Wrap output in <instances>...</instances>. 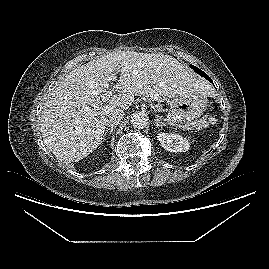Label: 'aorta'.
Listing matches in <instances>:
<instances>
[{
  "mask_svg": "<svg viewBox=\"0 0 269 269\" xmlns=\"http://www.w3.org/2000/svg\"><path fill=\"white\" fill-rule=\"evenodd\" d=\"M147 116L143 112H135L131 115V124L134 128H144L147 125Z\"/></svg>",
  "mask_w": 269,
  "mask_h": 269,
  "instance_id": "1",
  "label": "aorta"
}]
</instances>
